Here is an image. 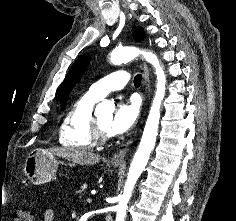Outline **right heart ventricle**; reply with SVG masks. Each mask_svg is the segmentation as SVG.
Returning <instances> with one entry per match:
<instances>
[{
	"label": "right heart ventricle",
	"instance_id": "obj_1",
	"mask_svg": "<svg viewBox=\"0 0 236 221\" xmlns=\"http://www.w3.org/2000/svg\"><path fill=\"white\" fill-rule=\"evenodd\" d=\"M97 101L86 93L73 102L60 123L59 143L62 146L77 150H89L95 146L91 119Z\"/></svg>",
	"mask_w": 236,
	"mask_h": 221
}]
</instances>
